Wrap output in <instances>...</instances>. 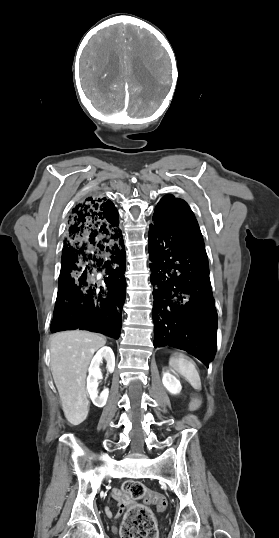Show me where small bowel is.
Instances as JSON below:
<instances>
[{"mask_svg":"<svg viewBox=\"0 0 279 538\" xmlns=\"http://www.w3.org/2000/svg\"><path fill=\"white\" fill-rule=\"evenodd\" d=\"M111 496L113 499L118 501V511L116 514H113L109 507H107L106 515L110 518L118 519L122 515L124 507L127 505L128 499L126 494L119 488L113 489Z\"/></svg>","mask_w":279,"mask_h":538,"instance_id":"small-bowel-1","label":"small bowel"}]
</instances>
